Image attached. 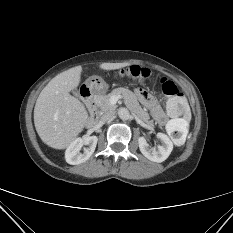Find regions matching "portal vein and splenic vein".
<instances>
[{"instance_id": "1", "label": "portal vein and splenic vein", "mask_w": 233, "mask_h": 233, "mask_svg": "<svg viewBox=\"0 0 233 233\" xmlns=\"http://www.w3.org/2000/svg\"><path fill=\"white\" fill-rule=\"evenodd\" d=\"M121 98V96H112L111 99H110V103L112 105L116 104L117 101Z\"/></svg>"}]
</instances>
